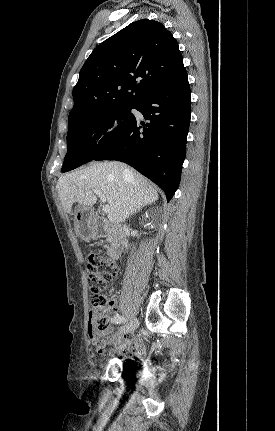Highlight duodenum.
Segmentation results:
<instances>
[{"instance_id":"410a0bca","label":"duodenum","mask_w":275,"mask_h":431,"mask_svg":"<svg viewBox=\"0 0 275 431\" xmlns=\"http://www.w3.org/2000/svg\"><path fill=\"white\" fill-rule=\"evenodd\" d=\"M103 231H107L111 236V247L109 254L112 258L118 259L127 241L126 232L121 227L115 226L107 220L94 217L91 221L90 233L92 236H100Z\"/></svg>"}]
</instances>
